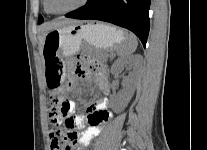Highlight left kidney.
<instances>
[{
    "instance_id": "obj_1",
    "label": "left kidney",
    "mask_w": 207,
    "mask_h": 150,
    "mask_svg": "<svg viewBox=\"0 0 207 150\" xmlns=\"http://www.w3.org/2000/svg\"><path fill=\"white\" fill-rule=\"evenodd\" d=\"M139 63L140 56L138 55L119 58L112 65V73L114 75L118 74L122 68L127 65H131L134 69H136ZM134 81L135 73L133 72L128 78H126L125 89L121 92V94L117 96V98L111 99V107L115 112H121L129 103L135 91Z\"/></svg>"
}]
</instances>
